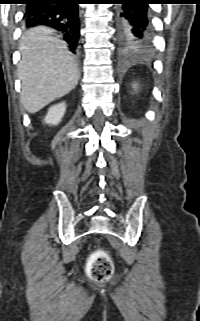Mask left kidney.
<instances>
[{
  "mask_svg": "<svg viewBox=\"0 0 200 321\" xmlns=\"http://www.w3.org/2000/svg\"><path fill=\"white\" fill-rule=\"evenodd\" d=\"M133 88L136 89V88H137V84H134V85H133Z\"/></svg>",
  "mask_w": 200,
  "mask_h": 321,
  "instance_id": "left-kidney-1",
  "label": "left kidney"
}]
</instances>
